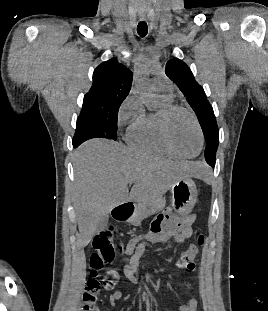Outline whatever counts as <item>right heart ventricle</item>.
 Wrapping results in <instances>:
<instances>
[{
    "label": "right heart ventricle",
    "instance_id": "1",
    "mask_svg": "<svg viewBox=\"0 0 268 311\" xmlns=\"http://www.w3.org/2000/svg\"><path fill=\"white\" fill-rule=\"evenodd\" d=\"M162 99L163 106L173 103L172 97L162 95ZM160 112L161 109L154 110L138 117L128 129L127 142L143 152L177 157L178 155L167 146L161 135Z\"/></svg>",
    "mask_w": 268,
    "mask_h": 311
}]
</instances>
